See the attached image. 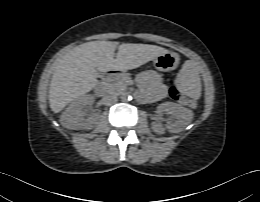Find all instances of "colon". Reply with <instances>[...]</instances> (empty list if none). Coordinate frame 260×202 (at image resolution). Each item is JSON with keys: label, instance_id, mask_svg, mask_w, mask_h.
Segmentation results:
<instances>
[{"label": "colon", "instance_id": "5ec220e1", "mask_svg": "<svg viewBox=\"0 0 260 202\" xmlns=\"http://www.w3.org/2000/svg\"><path fill=\"white\" fill-rule=\"evenodd\" d=\"M170 95L177 101L182 104H185L190 107H195L197 105V99L194 97L187 96L176 86H172L170 89Z\"/></svg>", "mask_w": 260, "mask_h": 202}]
</instances>
